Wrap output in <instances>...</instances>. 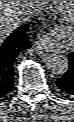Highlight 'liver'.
<instances>
[{"instance_id":"liver-1","label":"liver","mask_w":74,"mask_h":122,"mask_svg":"<svg viewBox=\"0 0 74 122\" xmlns=\"http://www.w3.org/2000/svg\"><path fill=\"white\" fill-rule=\"evenodd\" d=\"M35 1H0V41L1 43L21 23L22 8L31 6Z\"/></svg>"}]
</instances>
